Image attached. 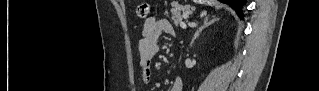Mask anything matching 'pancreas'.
<instances>
[{
  "mask_svg": "<svg viewBox=\"0 0 319 91\" xmlns=\"http://www.w3.org/2000/svg\"><path fill=\"white\" fill-rule=\"evenodd\" d=\"M181 12H189L188 6H182V5H174L171 9L172 17L171 20L175 25H178L179 22L182 21Z\"/></svg>",
  "mask_w": 319,
  "mask_h": 91,
  "instance_id": "pancreas-1",
  "label": "pancreas"
}]
</instances>
